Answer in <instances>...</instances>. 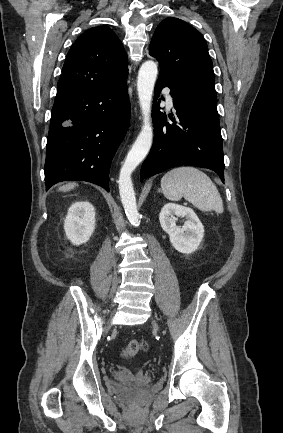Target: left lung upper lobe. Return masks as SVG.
<instances>
[{
  "label": "left lung upper lobe",
  "instance_id": "left-lung-upper-lobe-1",
  "mask_svg": "<svg viewBox=\"0 0 283 433\" xmlns=\"http://www.w3.org/2000/svg\"><path fill=\"white\" fill-rule=\"evenodd\" d=\"M149 54L157 58L162 76L184 86L186 107L219 119L213 63L199 31L181 19L168 17L156 28Z\"/></svg>",
  "mask_w": 283,
  "mask_h": 433
}]
</instances>
